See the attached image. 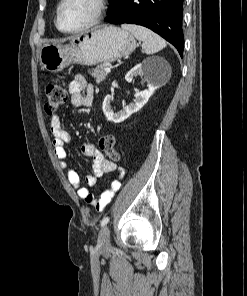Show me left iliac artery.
<instances>
[{
    "instance_id": "44dca946",
    "label": "left iliac artery",
    "mask_w": 247,
    "mask_h": 296,
    "mask_svg": "<svg viewBox=\"0 0 247 296\" xmlns=\"http://www.w3.org/2000/svg\"><path fill=\"white\" fill-rule=\"evenodd\" d=\"M109 222V217H104L101 221V226H105Z\"/></svg>"
}]
</instances>
